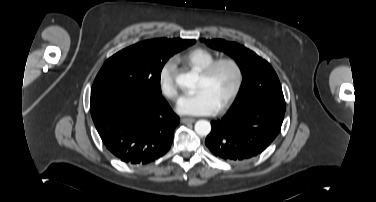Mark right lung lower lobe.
<instances>
[{
  "label": "right lung lower lobe",
  "mask_w": 376,
  "mask_h": 202,
  "mask_svg": "<svg viewBox=\"0 0 376 202\" xmlns=\"http://www.w3.org/2000/svg\"><path fill=\"white\" fill-rule=\"evenodd\" d=\"M90 110L107 149L128 164H146L163 156L179 124L161 95L135 89L91 93Z\"/></svg>",
  "instance_id": "98d812e1"
}]
</instances>
